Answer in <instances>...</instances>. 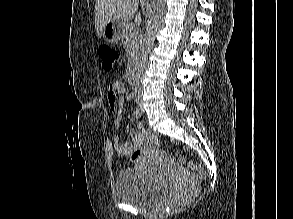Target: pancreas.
Returning <instances> with one entry per match:
<instances>
[{"label":"pancreas","mask_w":293,"mask_h":219,"mask_svg":"<svg viewBox=\"0 0 293 219\" xmlns=\"http://www.w3.org/2000/svg\"><path fill=\"white\" fill-rule=\"evenodd\" d=\"M139 39V31L132 24H127L122 37V43L127 51L128 63L130 65L134 63L137 58Z\"/></svg>","instance_id":"obj_1"}]
</instances>
